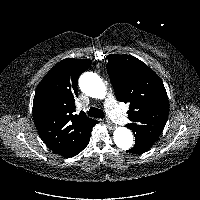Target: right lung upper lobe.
<instances>
[{"label":"right lung upper lobe","instance_id":"obj_1","mask_svg":"<svg viewBox=\"0 0 200 200\" xmlns=\"http://www.w3.org/2000/svg\"><path fill=\"white\" fill-rule=\"evenodd\" d=\"M91 62L66 58L39 83L33 100V119L44 143L55 153L75 156L90 129L97 123L84 112L76 114L78 78Z\"/></svg>","mask_w":200,"mask_h":200}]
</instances>
